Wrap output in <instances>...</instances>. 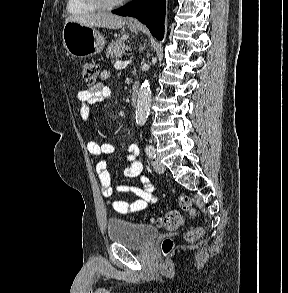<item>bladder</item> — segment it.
Returning a JSON list of instances; mask_svg holds the SVG:
<instances>
[{"label":"bladder","instance_id":"31cf9c89","mask_svg":"<svg viewBox=\"0 0 288 293\" xmlns=\"http://www.w3.org/2000/svg\"><path fill=\"white\" fill-rule=\"evenodd\" d=\"M106 229L111 242L131 249H144L158 236L157 229L151 225L119 219L109 220Z\"/></svg>","mask_w":288,"mask_h":293}]
</instances>
